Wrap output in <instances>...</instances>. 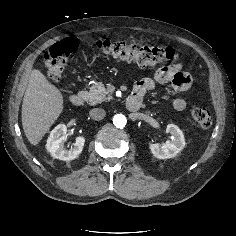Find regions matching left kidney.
<instances>
[{"label": "left kidney", "instance_id": "left-kidney-1", "mask_svg": "<svg viewBox=\"0 0 236 236\" xmlns=\"http://www.w3.org/2000/svg\"><path fill=\"white\" fill-rule=\"evenodd\" d=\"M166 132L172 136L171 141H166L163 145L150 142L149 148L152 154L158 159H169L175 157L185 146L183 132L175 124H168Z\"/></svg>", "mask_w": 236, "mask_h": 236}]
</instances>
